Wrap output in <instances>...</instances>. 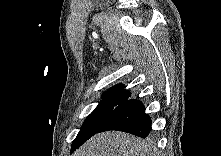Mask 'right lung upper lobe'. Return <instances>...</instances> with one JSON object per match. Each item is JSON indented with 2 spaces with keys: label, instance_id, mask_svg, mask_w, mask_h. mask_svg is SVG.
Returning a JSON list of instances; mask_svg holds the SVG:
<instances>
[{
  "label": "right lung upper lobe",
  "instance_id": "1",
  "mask_svg": "<svg viewBox=\"0 0 221 156\" xmlns=\"http://www.w3.org/2000/svg\"><path fill=\"white\" fill-rule=\"evenodd\" d=\"M130 96H131L130 92L128 90H125L123 86L120 84L110 88L107 92L103 94L102 98L108 100L120 99L124 102L128 100Z\"/></svg>",
  "mask_w": 221,
  "mask_h": 156
}]
</instances>
